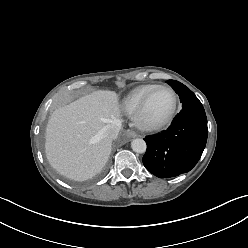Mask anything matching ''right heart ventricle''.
Returning a JSON list of instances; mask_svg holds the SVG:
<instances>
[{
  "mask_svg": "<svg viewBox=\"0 0 248 248\" xmlns=\"http://www.w3.org/2000/svg\"><path fill=\"white\" fill-rule=\"evenodd\" d=\"M154 84H146L133 89L123 100V108L129 115H134L142 99Z\"/></svg>",
  "mask_w": 248,
  "mask_h": 248,
  "instance_id": "1",
  "label": "right heart ventricle"
}]
</instances>
